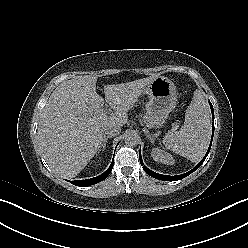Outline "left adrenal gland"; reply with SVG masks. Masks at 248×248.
<instances>
[{"instance_id":"obj_1","label":"left adrenal gland","mask_w":248,"mask_h":248,"mask_svg":"<svg viewBox=\"0 0 248 248\" xmlns=\"http://www.w3.org/2000/svg\"><path fill=\"white\" fill-rule=\"evenodd\" d=\"M145 134H146V137L150 140V142L154 143V140H155L154 136H152L148 133H145Z\"/></svg>"}]
</instances>
